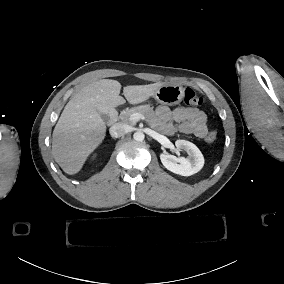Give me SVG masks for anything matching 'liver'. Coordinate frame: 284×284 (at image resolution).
<instances>
[{
    "label": "liver",
    "mask_w": 284,
    "mask_h": 284,
    "mask_svg": "<svg viewBox=\"0 0 284 284\" xmlns=\"http://www.w3.org/2000/svg\"><path fill=\"white\" fill-rule=\"evenodd\" d=\"M160 82L126 86L123 94L130 104L153 96ZM121 84L102 79L83 86L66 104L53 131L52 155L62 170L73 175L80 171L87 157L105 137L106 125L100 113L109 114L124 104Z\"/></svg>",
    "instance_id": "1"
}]
</instances>
